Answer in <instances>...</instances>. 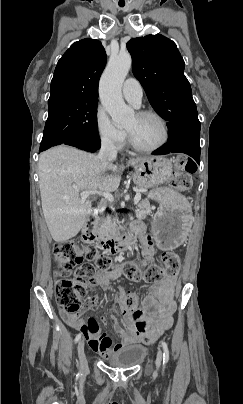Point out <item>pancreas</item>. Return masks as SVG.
<instances>
[{
  "label": "pancreas",
  "mask_w": 243,
  "mask_h": 404,
  "mask_svg": "<svg viewBox=\"0 0 243 404\" xmlns=\"http://www.w3.org/2000/svg\"><path fill=\"white\" fill-rule=\"evenodd\" d=\"M151 214V206L149 204L148 198H144L141 200L140 204H138L137 210H135V216L137 220H144L146 216H150ZM117 218H113V224H105L104 228H101L99 232L100 240H109L112 236H115L117 232Z\"/></svg>",
  "instance_id": "obj_1"
}]
</instances>
